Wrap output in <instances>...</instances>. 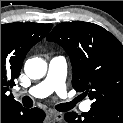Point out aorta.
I'll use <instances>...</instances> for the list:
<instances>
[{
  "label": "aorta",
  "instance_id": "762f6f07",
  "mask_svg": "<svg viewBox=\"0 0 123 123\" xmlns=\"http://www.w3.org/2000/svg\"><path fill=\"white\" fill-rule=\"evenodd\" d=\"M24 71L31 79H41L47 72V63L38 57L28 59L24 65Z\"/></svg>",
  "mask_w": 123,
  "mask_h": 123
}]
</instances>
